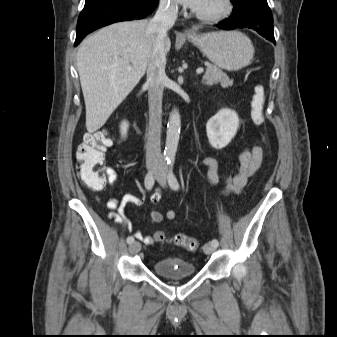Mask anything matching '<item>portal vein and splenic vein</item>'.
<instances>
[{
    "label": "portal vein and splenic vein",
    "mask_w": 337,
    "mask_h": 337,
    "mask_svg": "<svg viewBox=\"0 0 337 337\" xmlns=\"http://www.w3.org/2000/svg\"><path fill=\"white\" fill-rule=\"evenodd\" d=\"M127 69L130 70V69H131V66H128ZM203 72H204V69H203V68H198V69L196 70V73H197V74H201V73H203Z\"/></svg>",
    "instance_id": "1"
}]
</instances>
